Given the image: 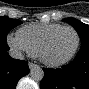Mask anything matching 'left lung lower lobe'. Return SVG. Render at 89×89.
I'll list each match as a JSON object with an SVG mask.
<instances>
[{
    "label": "left lung lower lobe",
    "instance_id": "obj_1",
    "mask_svg": "<svg viewBox=\"0 0 89 89\" xmlns=\"http://www.w3.org/2000/svg\"><path fill=\"white\" fill-rule=\"evenodd\" d=\"M43 70L40 89H89V43L81 44L75 59L68 65Z\"/></svg>",
    "mask_w": 89,
    "mask_h": 89
}]
</instances>
